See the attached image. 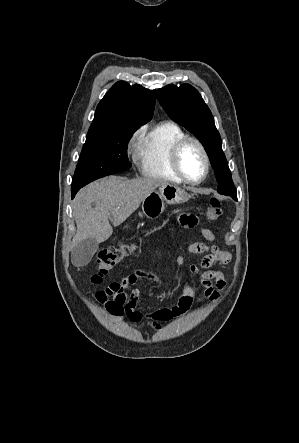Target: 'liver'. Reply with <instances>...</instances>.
Wrapping results in <instances>:
<instances>
[{"mask_svg": "<svg viewBox=\"0 0 299 443\" xmlns=\"http://www.w3.org/2000/svg\"><path fill=\"white\" fill-rule=\"evenodd\" d=\"M166 184V181L154 178L109 176L81 189L74 200L77 232L72 248L87 238L97 243L106 241L113 233L110 219L114 226L120 225L150 193Z\"/></svg>", "mask_w": 299, "mask_h": 443, "instance_id": "6515ba94", "label": "liver"}]
</instances>
